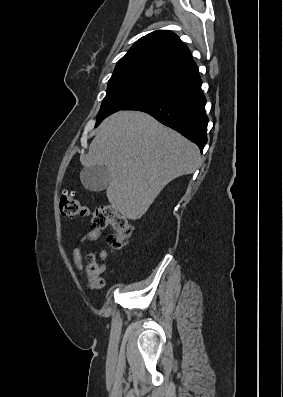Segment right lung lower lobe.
Here are the masks:
<instances>
[{
    "instance_id": "98d812e1",
    "label": "right lung lower lobe",
    "mask_w": 283,
    "mask_h": 397,
    "mask_svg": "<svg viewBox=\"0 0 283 397\" xmlns=\"http://www.w3.org/2000/svg\"><path fill=\"white\" fill-rule=\"evenodd\" d=\"M201 84L200 75L196 72L167 83L122 110L150 114L197 144L202 151L207 143L208 117Z\"/></svg>"
}]
</instances>
